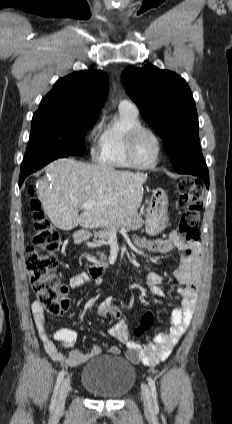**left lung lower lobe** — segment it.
<instances>
[{
    "label": "left lung lower lobe",
    "mask_w": 232,
    "mask_h": 424,
    "mask_svg": "<svg viewBox=\"0 0 232 424\" xmlns=\"http://www.w3.org/2000/svg\"><path fill=\"white\" fill-rule=\"evenodd\" d=\"M180 174H192L202 179L206 187H209V172L204 161L201 149L188 159L178 170ZM202 183V182H201Z\"/></svg>",
    "instance_id": "1"
}]
</instances>
